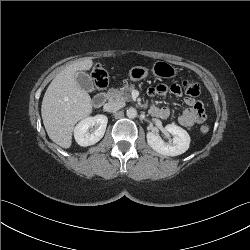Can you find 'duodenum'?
Returning <instances> with one entry per match:
<instances>
[{
    "label": "duodenum",
    "instance_id": "1",
    "mask_svg": "<svg viewBox=\"0 0 250 250\" xmlns=\"http://www.w3.org/2000/svg\"><path fill=\"white\" fill-rule=\"evenodd\" d=\"M107 96L104 93L98 94L93 98V106L101 107L106 102Z\"/></svg>",
    "mask_w": 250,
    "mask_h": 250
}]
</instances>
